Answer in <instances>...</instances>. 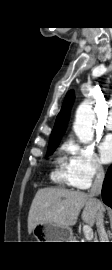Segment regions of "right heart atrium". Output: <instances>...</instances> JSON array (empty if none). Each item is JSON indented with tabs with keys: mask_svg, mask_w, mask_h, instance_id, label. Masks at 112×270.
Segmentation results:
<instances>
[{
	"mask_svg": "<svg viewBox=\"0 0 112 270\" xmlns=\"http://www.w3.org/2000/svg\"><path fill=\"white\" fill-rule=\"evenodd\" d=\"M63 149L68 155L65 167L71 186L86 189L94 180L104 176V167L93 146L81 145L69 139Z\"/></svg>",
	"mask_w": 112,
	"mask_h": 270,
	"instance_id": "d8ad5b80",
	"label": "right heart atrium"
}]
</instances>
